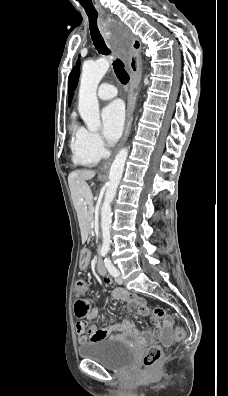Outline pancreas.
Wrapping results in <instances>:
<instances>
[{
  "label": "pancreas",
  "mask_w": 228,
  "mask_h": 396,
  "mask_svg": "<svg viewBox=\"0 0 228 396\" xmlns=\"http://www.w3.org/2000/svg\"><path fill=\"white\" fill-rule=\"evenodd\" d=\"M90 219H91V220H94V219H95V216H94V215H91V216H90ZM89 229L91 230L92 228L90 227ZM88 234H89L90 237L92 236L90 232H89ZM90 237L88 238L89 240L91 239Z\"/></svg>",
  "instance_id": "obj_1"
}]
</instances>
